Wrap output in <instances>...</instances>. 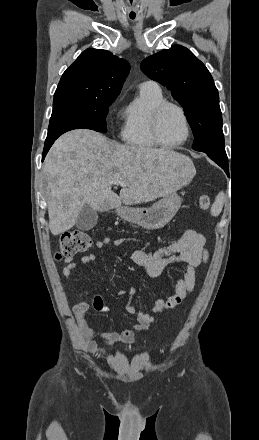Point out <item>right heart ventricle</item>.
I'll use <instances>...</instances> for the list:
<instances>
[{"label": "right heart ventricle", "mask_w": 259, "mask_h": 440, "mask_svg": "<svg viewBox=\"0 0 259 440\" xmlns=\"http://www.w3.org/2000/svg\"><path fill=\"white\" fill-rule=\"evenodd\" d=\"M161 91L140 89L136 98L123 110L121 139L126 144L140 150H152L158 147L151 134V118L155 108L164 102Z\"/></svg>", "instance_id": "right-heart-ventricle-1"}]
</instances>
